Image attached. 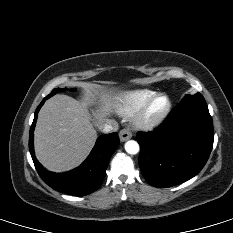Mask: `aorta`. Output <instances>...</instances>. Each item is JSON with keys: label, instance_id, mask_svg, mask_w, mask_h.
Returning <instances> with one entry per match:
<instances>
[{"label": "aorta", "instance_id": "1", "mask_svg": "<svg viewBox=\"0 0 233 233\" xmlns=\"http://www.w3.org/2000/svg\"><path fill=\"white\" fill-rule=\"evenodd\" d=\"M139 144L134 140H129L125 143V150L129 154H137L139 152Z\"/></svg>", "mask_w": 233, "mask_h": 233}]
</instances>
